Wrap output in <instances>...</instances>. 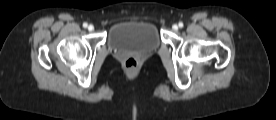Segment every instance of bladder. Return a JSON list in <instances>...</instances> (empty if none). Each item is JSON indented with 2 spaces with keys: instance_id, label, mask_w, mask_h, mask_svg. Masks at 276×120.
I'll return each mask as SVG.
<instances>
[{
  "instance_id": "obj_1",
  "label": "bladder",
  "mask_w": 276,
  "mask_h": 120,
  "mask_svg": "<svg viewBox=\"0 0 276 120\" xmlns=\"http://www.w3.org/2000/svg\"><path fill=\"white\" fill-rule=\"evenodd\" d=\"M107 44L114 50L150 52L159 47L160 37L151 22L125 21L111 28Z\"/></svg>"
}]
</instances>
